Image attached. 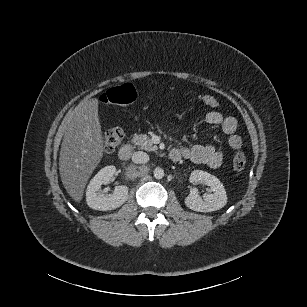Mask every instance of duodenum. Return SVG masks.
I'll return each mask as SVG.
<instances>
[{"label": "duodenum", "instance_id": "obj_1", "mask_svg": "<svg viewBox=\"0 0 307 307\" xmlns=\"http://www.w3.org/2000/svg\"><path fill=\"white\" fill-rule=\"evenodd\" d=\"M132 146L130 144H125L123 145L120 149H119V152H118V157L121 161H127L130 157H131V154H132ZM169 156L171 159H174L176 154H175V151L172 150L170 153H169Z\"/></svg>", "mask_w": 307, "mask_h": 307}]
</instances>
